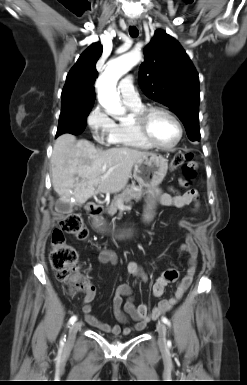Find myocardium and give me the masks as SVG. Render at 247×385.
Returning a JSON list of instances; mask_svg holds the SVG:
<instances>
[{
	"mask_svg": "<svg viewBox=\"0 0 247 385\" xmlns=\"http://www.w3.org/2000/svg\"><path fill=\"white\" fill-rule=\"evenodd\" d=\"M155 113H162L168 116L169 118H171L175 123L178 130V136L172 144L161 145L152 138L149 131V121ZM134 126L138 131V133L140 134V136L144 139V141L147 144H149L151 147H154L160 150H170L175 148L182 140V137L184 134L183 126L180 120L176 117V115H174L168 109H165L163 107H157V106L144 108L139 114H137L134 119Z\"/></svg>",
	"mask_w": 247,
	"mask_h": 385,
	"instance_id": "f54148a6",
	"label": "myocardium"
}]
</instances>
